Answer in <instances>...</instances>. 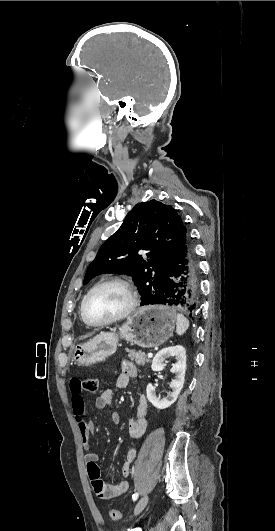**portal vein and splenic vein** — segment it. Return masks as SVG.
<instances>
[{"label":"portal vein and splenic vein","instance_id":"obj_1","mask_svg":"<svg viewBox=\"0 0 275 531\" xmlns=\"http://www.w3.org/2000/svg\"><path fill=\"white\" fill-rule=\"evenodd\" d=\"M147 357L150 359V357H153V353H148Z\"/></svg>","mask_w":275,"mask_h":531}]
</instances>
